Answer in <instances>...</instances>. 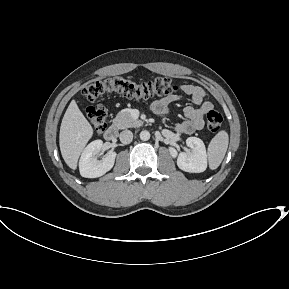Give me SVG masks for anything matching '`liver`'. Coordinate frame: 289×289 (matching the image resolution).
I'll return each mask as SVG.
<instances>
[{
	"mask_svg": "<svg viewBox=\"0 0 289 289\" xmlns=\"http://www.w3.org/2000/svg\"><path fill=\"white\" fill-rule=\"evenodd\" d=\"M92 135V126L72 100L63 116L59 134L62 157L71 169L77 168L79 156Z\"/></svg>",
	"mask_w": 289,
	"mask_h": 289,
	"instance_id": "liver-1",
	"label": "liver"
}]
</instances>
